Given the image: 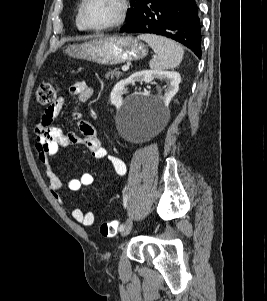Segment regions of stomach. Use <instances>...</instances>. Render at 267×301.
I'll list each match as a JSON object with an SVG mask.
<instances>
[{
  "label": "stomach",
  "instance_id": "0dacf381",
  "mask_svg": "<svg viewBox=\"0 0 267 301\" xmlns=\"http://www.w3.org/2000/svg\"><path fill=\"white\" fill-rule=\"evenodd\" d=\"M147 52V47L132 36L98 38L81 44L69 45L65 49V53L70 57L103 65L140 60L147 55Z\"/></svg>",
  "mask_w": 267,
  "mask_h": 301
}]
</instances>
